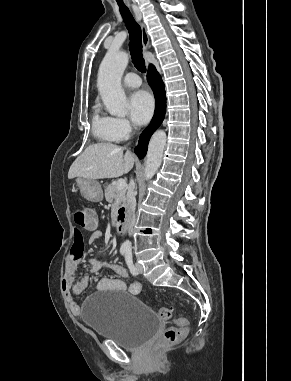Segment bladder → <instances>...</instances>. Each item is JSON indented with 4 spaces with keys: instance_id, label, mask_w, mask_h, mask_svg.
Segmentation results:
<instances>
[{
    "instance_id": "bladder-1",
    "label": "bladder",
    "mask_w": 291,
    "mask_h": 381,
    "mask_svg": "<svg viewBox=\"0 0 291 381\" xmlns=\"http://www.w3.org/2000/svg\"><path fill=\"white\" fill-rule=\"evenodd\" d=\"M82 320L98 337L113 340L128 350L141 349L162 325L147 304L126 292L114 297L94 294L85 302Z\"/></svg>"
}]
</instances>
